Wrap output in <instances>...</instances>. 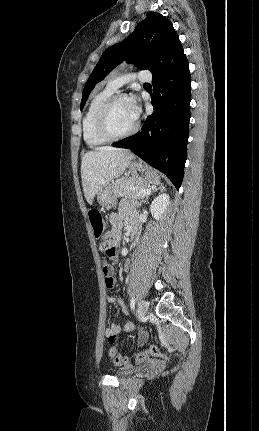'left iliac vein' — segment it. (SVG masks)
Returning <instances> with one entry per match:
<instances>
[{
    "mask_svg": "<svg viewBox=\"0 0 259 431\" xmlns=\"http://www.w3.org/2000/svg\"><path fill=\"white\" fill-rule=\"evenodd\" d=\"M149 308V304L145 300H141L138 304V317L139 319H142L145 317L147 311Z\"/></svg>",
    "mask_w": 259,
    "mask_h": 431,
    "instance_id": "left-iliac-vein-1",
    "label": "left iliac vein"
}]
</instances>
